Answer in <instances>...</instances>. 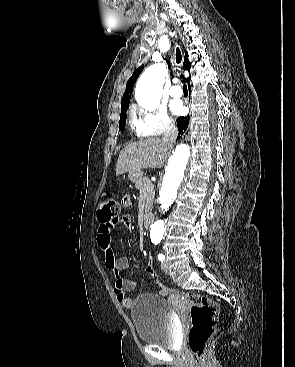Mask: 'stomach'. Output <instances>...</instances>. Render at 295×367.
<instances>
[{"instance_id":"1","label":"stomach","mask_w":295,"mask_h":367,"mask_svg":"<svg viewBox=\"0 0 295 367\" xmlns=\"http://www.w3.org/2000/svg\"><path fill=\"white\" fill-rule=\"evenodd\" d=\"M142 178H143V173H142L141 170L129 172V179L133 183L140 182L142 180Z\"/></svg>"}]
</instances>
